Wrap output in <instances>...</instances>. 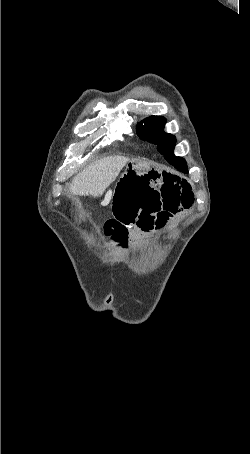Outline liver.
<instances>
[{
  "label": "liver",
  "instance_id": "6515ba94",
  "mask_svg": "<svg viewBox=\"0 0 250 454\" xmlns=\"http://www.w3.org/2000/svg\"><path fill=\"white\" fill-rule=\"evenodd\" d=\"M129 161L130 159L124 156H109L95 160L74 177L70 186L71 194L93 197L103 195Z\"/></svg>",
  "mask_w": 250,
  "mask_h": 454
}]
</instances>
